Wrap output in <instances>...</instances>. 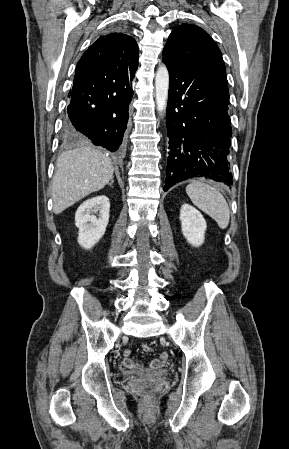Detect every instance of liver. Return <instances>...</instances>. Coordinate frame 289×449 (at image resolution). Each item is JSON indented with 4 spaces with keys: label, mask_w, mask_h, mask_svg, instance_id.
I'll use <instances>...</instances> for the list:
<instances>
[{
    "label": "liver",
    "mask_w": 289,
    "mask_h": 449,
    "mask_svg": "<svg viewBox=\"0 0 289 449\" xmlns=\"http://www.w3.org/2000/svg\"><path fill=\"white\" fill-rule=\"evenodd\" d=\"M56 168L52 183L55 214L104 188L114 172L111 159L90 145L63 152L57 159Z\"/></svg>",
    "instance_id": "obj_1"
}]
</instances>
